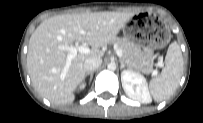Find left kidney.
Listing matches in <instances>:
<instances>
[{
	"label": "left kidney",
	"instance_id": "obj_1",
	"mask_svg": "<svg viewBox=\"0 0 203 123\" xmlns=\"http://www.w3.org/2000/svg\"><path fill=\"white\" fill-rule=\"evenodd\" d=\"M122 87L128 97L141 103H150L151 96L143 75L131 69L121 72Z\"/></svg>",
	"mask_w": 203,
	"mask_h": 123
}]
</instances>
